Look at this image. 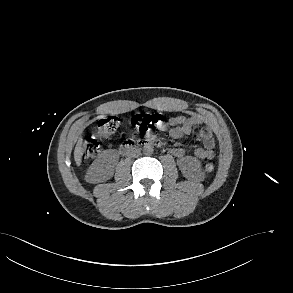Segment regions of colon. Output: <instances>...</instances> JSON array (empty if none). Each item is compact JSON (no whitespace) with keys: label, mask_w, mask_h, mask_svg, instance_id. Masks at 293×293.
<instances>
[{"label":"colon","mask_w":293,"mask_h":293,"mask_svg":"<svg viewBox=\"0 0 293 293\" xmlns=\"http://www.w3.org/2000/svg\"><path fill=\"white\" fill-rule=\"evenodd\" d=\"M164 123V117L160 113H138L134 114L128 121V127L137 132H147L158 128ZM121 125V120L115 116L102 118L97 123L94 133L88 135L82 145V158L89 161L97 156L100 151L102 139L115 133ZM214 170L213 163L204 166L206 173Z\"/></svg>","instance_id":"5ec220e1"}]
</instances>
